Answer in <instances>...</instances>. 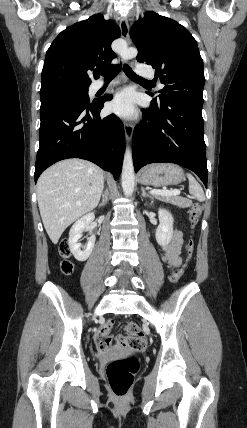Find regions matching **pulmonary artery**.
I'll use <instances>...</instances> for the list:
<instances>
[{"instance_id": "obj_1", "label": "pulmonary artery", "mask_w": 247, "mask_h": 428, "mask_svg": "<svg viewBox=\"0 0 247 428\" xmlns=\"http://www.w3.org/2000/svg\"><path fill=\"white\" fill-rule=\"evenodd\" d=\"M136 72L138 75L143 76V77H148V78H153L154 77V72L153 70L146 66V65H138L136 67ZM114 82H111L110 84H113ZM104 86L103 82H97L95 85V89H100Z\"/></svg>"}]
</instances>
